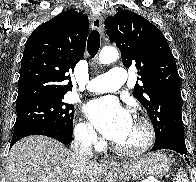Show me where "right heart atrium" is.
Masks as SVG:
<instances>
[{
  "label": "right heart atrium",
  "instance_id": "obj_1",
  "mask_svg": "<svg viewBox=\"0 0 196 182\" xmlns=\"http://www.w3.org/2000/svg\"><path fill=\"white\" fill-rule=\"evenodd\" d=\"M74 135L76 140L85 147L92 148L100 145L93 125L88 121L80 120L74 128Z\"/></svg>",
  "mask_w": 196,
  "mask_h": 182
}]
</instances>
